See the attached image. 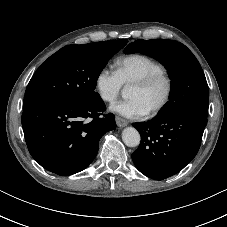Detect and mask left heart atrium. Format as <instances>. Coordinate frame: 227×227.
<instances>
[{"mask_svg":"<svg viewBox=\"0 0 227 227\" xmlns=\"http://www.w3.org/2000/svg\"><path fill=\"white\" fill-rule=\"evenodd\" d=\"M110 110L128 119H138L147 114L143 104L136 98H129L114 103Z\"/></svg>","mask_w":227,"mask_h":227,"instance_id":"obj_1","label":"left heart atrium"}]
</instances>
